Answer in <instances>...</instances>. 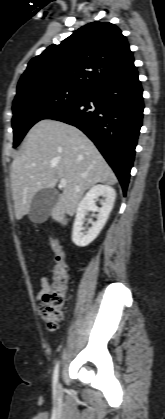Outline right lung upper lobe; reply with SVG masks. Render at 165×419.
<instances>
[{
    "mask_svg": "<svg viewBox=\"0 0 165 419\" xmlns=\"http://www.w3.org/2000/svg\"><path fill=\"white\" fill-rule=\"evenodd\" d=\"M133 62V53L118 27L92 22L33 58L19 80L14 100L57 87L87 92Z\"/></svg>",
    "mask_w": 165,
    "mask_h": 419,
    "instance_id": "obj_1",
    "label": "right lung upper lobe"
}]
</instances>
